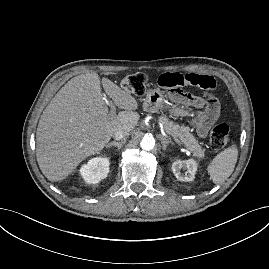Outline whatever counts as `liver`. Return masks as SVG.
Instances as JSON below:
<instances>
[{"label": "liver", "instance_id": "obj_1", "mask_svg": "<svg viewBox=\"0 0 269 269\" xmlns=\"http://www.w3.org/2000/svg\"><path fill=\"white\" fill-rule=\"evenodd\" d=\"M105 93L121 111L109 112ZM127 91L96 72L69 80L44 109L36 132L40 170L52 182L70 175L87 157L98 154L118 130L131 131L140 115Z\"/></svg>", "mask_w": 269, "mask_h": 269}]
</instances>
